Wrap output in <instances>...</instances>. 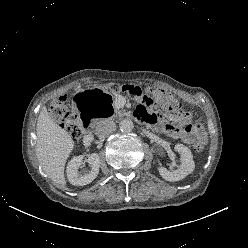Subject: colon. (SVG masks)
Here are the masks:
<instances>
[{
	"label": "colon",
	"mask_w": 248,
	"mask_h": 248,
	"mask_svg": "<svg viewBox=\"0 0 248 248\" xmlns=\"http://www.w3.org/2000/svg\"><path fill=\"white\" fill-rule=\"evenodd\" d=\"M111 90L126 92L144 105H158L161 109L168 111L173 115H187V113L182 110L178 100L165 90H142L135 85H112ZM50 115L70 134L73 140L78 141L81 138V119L74 113L65 96L60 97L51 104ZM194 126L200 128L201 123L196 122L194 123ZM205 147L206 143L204 140H199L194 144V149L196 151H203Z\"/></svg>",
	"instance_id": "colon-1"
}]
</instances>
